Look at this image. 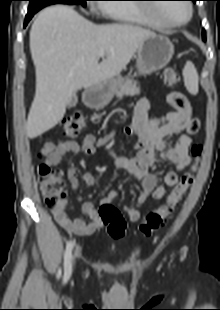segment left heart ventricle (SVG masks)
<instances>
[{
	"label": "left heart ventricle",
	"mask_w": 220,
	"mask_h": 310,
	"mask_svg": "<svg viewBox=\"0 0 220 310\" xmlns=\"http://www.w3.org/2000/svg\"><path fill=\"white\" fill-rule=\"evenodd\" d=\"M158 16L172 22L184 20L188 16V9L183 3H171L160 5L156 9Z\"/></svg>",
	"instance_id": "obj_1"
}]
</instances>
